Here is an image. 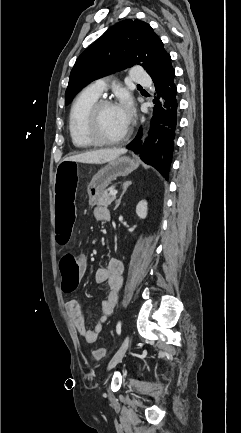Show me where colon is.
Masks as SVG:
<instances>
[{"label": "colon", "mask_w": 241, "mask_h": 433, "mask_svg": "<svg viewBox=\"0 0 241 433\" xmlns=\"http://www.w3.org/2000/svg\"><path fill=\"white\" fill-rule=\"evenodd\" d=\"M80 161L77 157H65L57 164L53 189L55 190V200L53 203L56 209V223L58 243L64 247L68 241V235L73 233L77 207H74V196L76 194L78 172ZM60 275L63 277L62 287L65 291H73L78 283L79 265L71 253H65L61 257ZM95 360H102L106 357V351L102 348L93 351Z\"/></svg>", "instance_id": "1"}]
</instances>
